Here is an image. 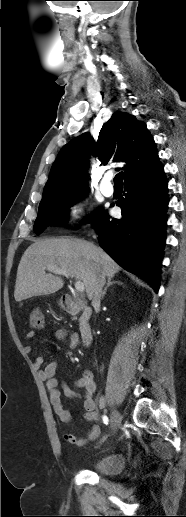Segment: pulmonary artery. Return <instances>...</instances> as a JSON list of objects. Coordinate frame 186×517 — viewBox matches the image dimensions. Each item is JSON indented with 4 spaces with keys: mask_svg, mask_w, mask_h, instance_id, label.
I'll use <instances>...</instances> for the list:
<instances>
[{
    "mask_svg": "<svg viewBox=\"0 0 186 517\" xmlns=\"http://www.w3.org/2000/svg\"><path fill=\"white\" fill-rule=\"evenodd\" d=\"M110 181H111V175L107 174L103 177V179L100 183V191L106 197L112 196L113 192H114Z\"/></svg>",
    "mask_w": 186,
    "mask_h": 517,
    "instance_id": "e3ab8cb5",
    "label": "pulmonary artery"
}]
</instances>
